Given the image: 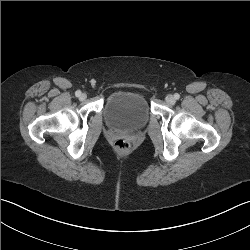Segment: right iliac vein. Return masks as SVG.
I'll return each instance as SVG.
<instances>
[{"label": "right iliac vein", "mask_w": 250, "mask_h": 250, "mask_svg": "<svg viewBox=\"0 0 250 250\" xmlns=\"http://www.w3.org/2000/svg\"><path fill=\"white\" fill-rule=\"evenodd\" d=\"M86 97H87V95H86L85 93H82V94L80 95V100H85Z\"/></svg>", "instance_id": "right-iliac-vein-1"}]
</instances>
